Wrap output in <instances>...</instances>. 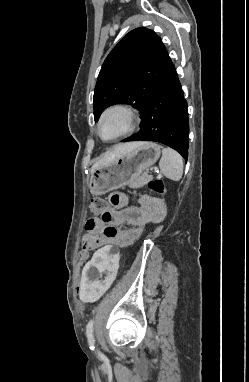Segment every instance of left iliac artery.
I'll use <instances>...</instances> for the list:
<instances>
[{"label": "left iliac artery", "mask_w": 249, "mask_h": 382, "mask_svg": "<svg viewBox=\"0 0 249 382\" xmlns=\"http://www.w3.org/2000/svg\"><path fill=\"white\" fill-rule=\"evenodd\" d=\"M93 320H90L86 326V335L88 338V343L90 345V349L93 350L95 348V339L93 334Z\"/></svg>", "instance_id": "obj_1"}]
</instances>
